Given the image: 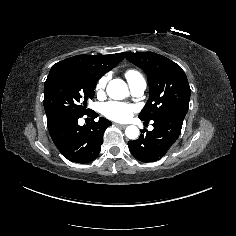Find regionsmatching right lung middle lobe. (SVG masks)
<instances>
[{"mask_svg": "<svg viewBox=\"0 0 236 236\" xmlns=\"http://www.w3.org/2000/svg\"><path fill=\"white\" fill-rule=\"evenodd\" d=\"M100 77L97 69L91 65L63 61L54 64L44 83L47 121L61 116L81 117L87 114V100L94 97Z\"/></svg>", "mask_w": 236, "mask_h": 236, "instance_id": "right-lung-middle-lobe-1", "label": "right lung middle lobe"}]
</instances>
